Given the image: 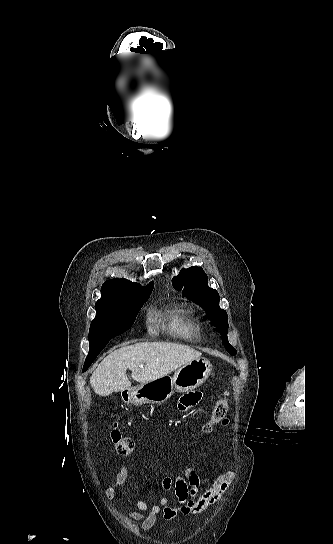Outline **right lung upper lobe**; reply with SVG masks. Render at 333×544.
I'll return each instance as SVG.
<instances>
[{
  "instance_id": "cb5924a9",
  "label": "right lung upper lobe",
  "mask_w": 333,
  "mask_h": 544,
  "mask_svg": "<svg viewBox=\"0 0 333 544\" xmlns=\"http://www.w3.org/2000/svg\"><path fill=\"white\" fill-rule=\"evenodd\" d=\"M153 286L154 283L150 282L147 286L142 287L139 283L131 282L125 278L107 280L101 288L102 297L96 303L135 297L150 291Z\"/></svg>"
}]
</instances>
